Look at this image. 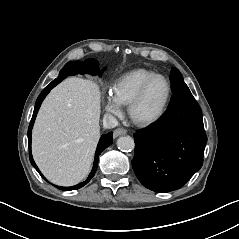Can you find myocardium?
<instances>
[{
    "label": "myocardium",
    "instance_id": "obj_1",
    "mask_svg": "<svg viewBox=\"0 0 239 239\" xmlns=\"http://www.w3.org/2000/svg\"><path fill=\"white\" fill-rule=\"evenodd\" d=\"M157 79H164L167 83L168 94H167L166 101H165L162 109L156 116H154L152 118H148V119L142 118L137 115V112H136L137 107H138L139 103L141 102V100L143 99V97H144L146 91L148 90V88L150 87V85ZM172 93H173L172 84L166 76H164L162 74H156V75L152 76L140 87V89L137 91V93L131 100V102L128 106V112H129L130 118L132 119V121L134 123H136L139 126H152V125L157 124L161 119H163V117L166 115V113L168 111V108L170 106L171 99H172Z\"/></svg>",
    "mask_w": 239,
    "mask_h": 239
}]
</instances>
